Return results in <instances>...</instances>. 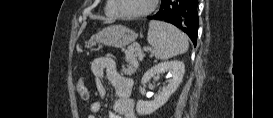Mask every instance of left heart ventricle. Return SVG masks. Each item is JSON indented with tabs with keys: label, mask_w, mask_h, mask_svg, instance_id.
Masks as SVG:
<instances>
[{
	"label": "left heart ventricle",
	"mask_w": 273,
	"mask_h": 118,
	"mask_svg": "<svg viewBox=\"0 0 273 118\" xmlns=\"http://www.w3.org/2000/svg\"><path fill=\"white\" fill-rule=\"evenodd\" d=\"M152 0H121L123 9L128 13H139L146 10Z\"/></svg>",
	"instance_id": "b2bd125f"
}]
</instances>
